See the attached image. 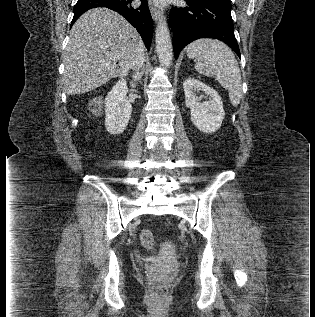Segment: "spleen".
Segmentation results:
<instances>
[{
    "label": "spleen",
    "instance_id": "1",
    "mask_svg": "<svg viewBox=\"0 0 315 317\" xmlns=\"http://www.w3.org/2000/svg\"><path fill=\"white\" fill-rule=\"evenodd\" d=\"M187 56L195 59V69L201 75L214 77L228 90L233 106L240 103L242 80L238 62L231 49L214 39H198L187 47Z\"/></svg>",
    "mask_w": 315,
    "mask_h": 317
}]
</instances>
